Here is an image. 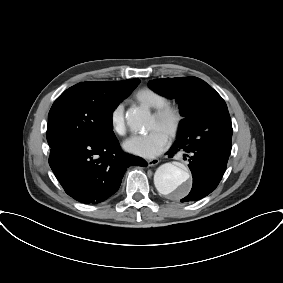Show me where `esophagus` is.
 <instances>
[{"mask_svg": "<svg viewBox=\"0 0 283 283\" xmlns=\"http://www.w3.org/2000/svg\"><path fill=\"white\" fill-rule=\"evenodd\" d=\"M160 162V160L158 158H153V159H149L147 160V165L148 166H155Z\"/></svg>", "mask_w": 283, "mask_h": 283, "instance_id": "34e87169", "label": "esophagus"}]
</instances>
